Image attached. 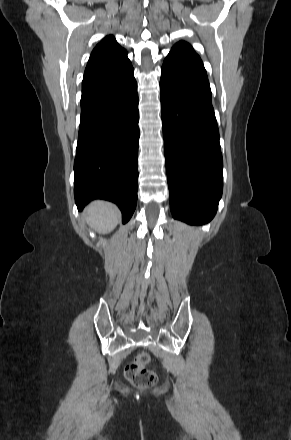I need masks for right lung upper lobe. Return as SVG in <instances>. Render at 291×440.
<instances>
[{"label": "right lung upper lobe", "instance_id": "cb5924a9", "mask_svg": "<svg viewBox=\"0 0 291 440\" xmlns=\"http://www.w3.org/2000/svg\"><path fill=\"white\" fill-rule=\"evenodd\" d=\"M130 66L132 65L126 50L112 35H109L93 49L85 69L84 79L113 75Z\"/></svg>", "mask_w": 291, "mask_h": 440}]
</instances>
